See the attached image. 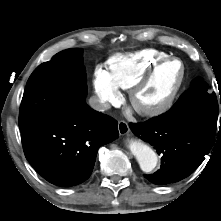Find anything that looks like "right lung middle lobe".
Listing matches in <instances>:
<instances>
[{
	"instance_id": "right-lung-middle-lobe-1",
	"label": "right lung middle lobe",
	"mask_w": 221,
	"mask_h": 221,
	"mask_svg": "<svg viewBox=\"0 0 221 221\" xmlns=\"http://www.w3.org/2000/svg\"><path fill=\"white\" fill-rule=\"evenodd\" d=\"M83 50L72 48L42 63L27 81L20 106V131L48 123L87 93Z\"/></svg>"
}]
</instances>
